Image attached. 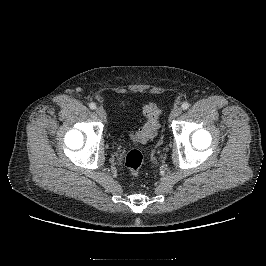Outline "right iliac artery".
Masks as SVG:
<instances>
[{"label":"right iliac artery","instance_id":"82829eb1","mask_svg":"<svg viewBox=\"0 0 266 266\" xmlns=\"http://www.w3.org/2000/svg\"><path fill=\"white\" fill-rule=\"evenodd\" d=\"M89 107H90L91 109H96V104L93 103V102H91V103L89 104Z\"/></svg>","mask_w":266,"mask_h":266}]
</instances>
